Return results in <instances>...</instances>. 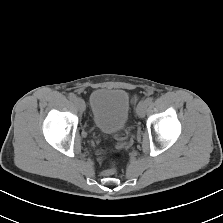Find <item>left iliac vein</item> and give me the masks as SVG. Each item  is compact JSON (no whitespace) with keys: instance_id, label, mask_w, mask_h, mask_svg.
Wrapping results in <instances>:
<instances>
[{"instance_id":"obj_1","label":"left iliac vein","mask_w":223,"mask_h":223,"mask_svg":"<svg viewBox=\"0 0 223 223\" xmlns=\"http://www.w3.org/2000/svg\"><path fill=\"white\" fill-rule=\"evenodd\" d=\"M146 108H147V104L145 103V101L140 102L136 108L137 116L140 118L144 117Z\"/></svg>"}]
</instances>
